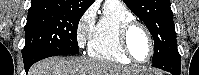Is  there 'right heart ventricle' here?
I'll list each match as a JSON object with an SVG mask.
<instances>
[{"mask_svg":"<svg viewBox=\"0 0 199 75\" xmlns=\"http://www.w3.org/2000/svg\"><path fill=\"white\" fill-rule=\"evenodd\" d=\"M132 19H135L133 13L123 5L104 6L103 13L89 39V56L120 65L131 64L132 61L121 47L119 31L124 23Z\"/></svg>","mask_w":199,"mask_h":75,"instance_id":"right-heart-ventricle-1","label":"right heart ventricle"}]
</instances>
